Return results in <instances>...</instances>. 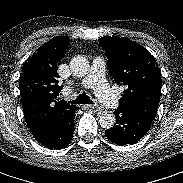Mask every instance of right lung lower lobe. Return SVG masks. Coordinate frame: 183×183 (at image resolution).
<instances>
[{"instance_id":"right-lung-lower-lobe-1","label":"right lung lower lobe","mask_w":183,"mask_h":183,"mask_svg":"<svg viewBox=\"0 0 183 183\" xmlns=\"http://www.w3.org/2000/svg\"><path fill=\"white\" fill-rule=\"evenodd\" d=\"M34 138L49 149H62L72 140L74 119L69 123H48L40 121L31 129Z\"/></svg>"}]
</instances>
